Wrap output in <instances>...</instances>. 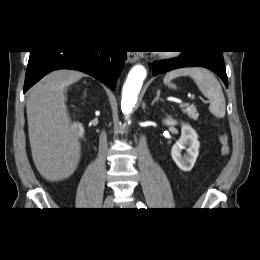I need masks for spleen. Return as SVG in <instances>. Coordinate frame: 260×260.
<instances>
[{
  "instance_id": "spleen-1",
  "label": "spleen",
  "mask_w": 260,
  "mask_h": 260,
  "mask_svg": "<svg viewBox=\"0 0 260 260\" xmlns=\"http://www.w3.org/2000/svg\"><path fill=\"white\" fill-rule=\"evenodd\" d=\"M180 76H189L194 80L202 94L209 99V110L215 117L225 116V97L220 83L210 71L200 67L176 69L165 75L164 84Z\"/></svg>"
}]
</instances>
